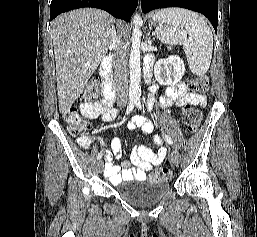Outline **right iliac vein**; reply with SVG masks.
I'll return each instance as SVG.
<instances>
[{
	"label": "right iliac vein",
	"mask_w": 257,
	"mask_h": 237,
	"mask_svg": "<svg viewBox=\"0 0 257 237\" xmlns=\"http://www.w3.org/2000/svg\"><path fill=\"white\" fill-rule=\"evenodd\" d=\"M104 168V162L102 160H99L97 163V169L99 172H102Z\"/></svg>",
	"instance_id": "1"
}]
</instances>
